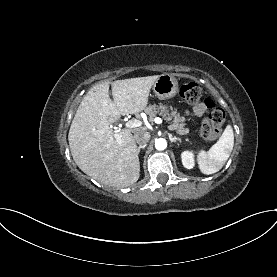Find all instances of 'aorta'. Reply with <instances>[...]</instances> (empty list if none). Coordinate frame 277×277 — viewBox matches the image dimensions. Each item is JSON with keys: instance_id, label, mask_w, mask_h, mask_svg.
<instances>
[{"instance_id": "762f6f07", "label": "aorta", "mask_w": 277, "mask_h": 277, "mask_svg": "<svg viewBox=\"0 0 277 277\" xmlns=\"http://www.w3.org/2000/svg\"><path fill=\"white\" fill-rule=\"evenodd\" d=\"M166 147H167V142H166V140L165 139H163V138H159V139H157L156 141H155V148L157 149V150H164V149H166Z\"/></svg>"}]
</instances>
